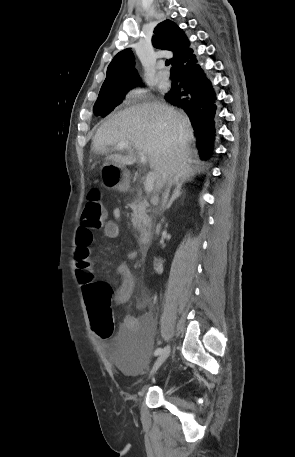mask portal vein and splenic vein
<instances>
[{"label":"portal vein and splenic vein","instance_id":"1","mask_svg":"<svg viewBox=\"0 0 295 457\" xmlns=\"http://www.w3.org/2000/svg\"><path fill=\"white\" fill-rule=\"evenodd\" d=\"M117 148L118 149H129V150L132 149L129 142H120V143H118ZM138 155L141 159V162L147 163V156L143 152H139ZM154 182H155V173L153 171H149L146 176L145 182H144L145 191L147 193H150L153 190Z\"/></svg>","mask_w":295,"mask_h":457}]
</instances>
